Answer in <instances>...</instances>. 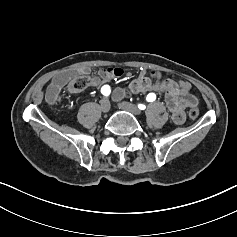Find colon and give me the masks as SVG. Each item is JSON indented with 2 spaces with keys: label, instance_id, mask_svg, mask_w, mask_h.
Segmentation results:
<instances>
[{
  "label": "colon",
  "instance_id": "1",
  "mask_svg": "<svg viewBox=\"0 0 237 237\" xmlns=\"http://www.w3.org/2000/svg\"><path fill=\"white\" fill-rule=\"evenodd\" d=\"M90 84V78L88 76H79L74 78L67 86V90L70 93H78L87 88ZM189 116L192 119H196L199 116V109L194 106L189 111Z\"/></svg>",
  "mask_w": 237,
  "mask_h": 237
}]
</instances>
